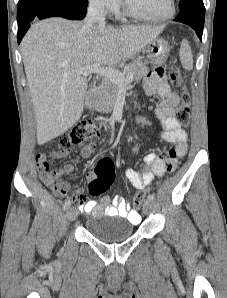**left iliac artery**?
Masks as SVG:
<instances>
[{
  "mask_svg": "<svg viewBox=\"0 0 227 298\" xmlns=\"http://www.w3.org/2000/svg\"><path fill=\"white\" fill-rule=\"evenodd\" d=\"M153 199H154V196L152 194L148 195V200L153 201Z\"/></svg>",
  "mask_w": 227,
  "mask_h": 298,
  "instance_id": "44dca946",
  "label": "left iliac artery"
}]
</instances>
